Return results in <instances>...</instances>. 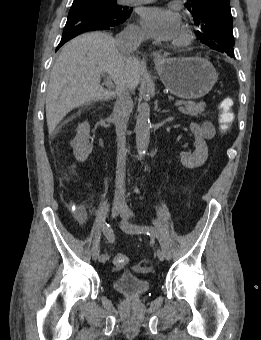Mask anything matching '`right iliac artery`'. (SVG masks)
Here are the masks:
<instances>
[{
    "instance_id": "right-iliac-artery-1",
    "label": "right iliac artery",
    "mask_w": 261,
    "mask_h": 340,
    "mask_svg": "<svg viewBox=\"0 0 261 340\" xmlns=\"http://www.w3.org/2000/svg\"><path fill=\"white\" fill-rule=\"evenodd\" d=\"M101 230H102L103 235L109 241V243L113 244L114 241H115V235H114V232H113L112 228L110 227V225L106 222L102 223ZM108 260H109V256L105 253H102L99 256V262H101L103 264L107 263Z\"/></svg>"
}]
</instances>
